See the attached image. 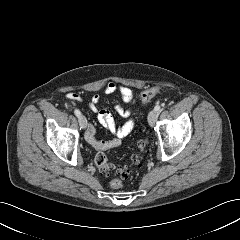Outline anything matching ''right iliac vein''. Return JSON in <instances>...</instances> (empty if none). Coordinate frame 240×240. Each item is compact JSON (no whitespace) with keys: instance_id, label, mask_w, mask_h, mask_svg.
<instances>
[{"instance_id":"1","label":"right iliac vein","mask_w":240,"mask_h":240,"mask_svg":"<svg viewBox=\"0 0 240 240\" xmlns=\"http://www.w3.org/2000/svg\"><path fill=\"white\" fill-rule=\"evenodd\" d=\"M79 125L82 129H85L87 127V119L85 116L80 115L78 118Z\"/></svg>"}]
</instances>
